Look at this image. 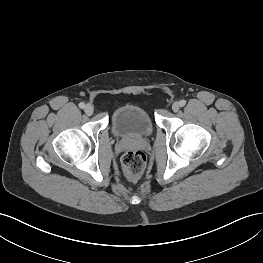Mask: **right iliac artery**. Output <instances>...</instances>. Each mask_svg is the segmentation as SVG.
<instances>
[{
	"mask_svg": "<svg viewBox=\"0 0 263 263\" xmlns=\"http://www.w3.org/2000/svg\"><path fill=\"white\" fill-rule=\"evenodd\" d=\"M79 107H80L81 109H83V108H85V104H84L83 102H81V103H79Z\"/></svg>",
	"mask_w": 263,
	"mask_h": 263,
	"instance_id": "obj_1",
	"label": "right iliac artery"
}]
</instances>
